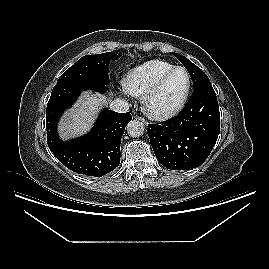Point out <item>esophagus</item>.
<instances>
[{"label": "esophagus", "instance_id": "1", "mask_svg": "<svg viewBox=\"0 0 269 269\" xmlns=\"http://www.w3.org/2000/svg\"><path fill=\"white\" fill-rule=\"evenodd\" d=\"M134 118L140 120L144 125L148 126V122L144 118L140 116H134Z\"/></svg>", "mask_w": 269, "mask_h": 269}]
</instances>
